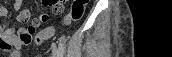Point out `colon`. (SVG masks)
<instances>
[{"instance_id":"5ec220e1","label":"colon","mask_w":172,"mask_h":57,"mask_svg":"<svg viewBox=\"0 0 172 57\" xmlns=\"http://www.w3.org/2000/svg\"><path fill=\"white\" fill-rule=\"evenodd\" d=\"M54 2L61 3L64 2L63 0H53ZM89 0H74L72 2L71 8L69 13L64 18L65 24H70L72 22H76L80 20L85 12L86 5L88 4ZM52 29H48L43 34L44 35H52Z\"/></svg>"}]
</instances>
